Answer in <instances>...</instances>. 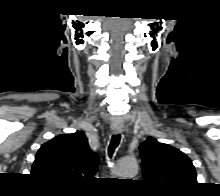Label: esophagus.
Returning <instances> with one entry per match:
<instances>
[{"instance_id":"34e87169","label":"esophagus","mask_w":220,"mask_h":196,"mask_svg":"<svg viewBox=\"0 0 220 196\" xmlns=\"http://www.w3.org/2000/svg\"><path fill=\"white\" fill-rule=\"evenodd\" d=\"M111 130L114 133H120L122 131L121 127H117V126H111Z\"/></svg>"}]
</instances>
